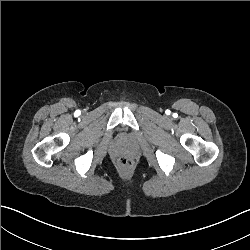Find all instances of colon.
I'll return each instance as SVG.
<instances>
[{"instance_id":"obj_1","label":"colon","mask_w":250,"mask_h":250,"mask_svg":"<svg viewBox=\"0 0 250 250\" xmlns=\"http://www.w3.org/2000/svg\"><path fill=\"white\" fill-rule=\"evenodd\" d=\"M117 167L122 172L131 173L135 170L136 163L129 157H122L118 160Z\"/></svg>"}]
</instances>
